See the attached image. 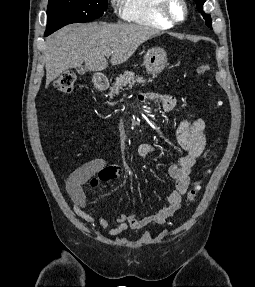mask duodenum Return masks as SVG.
Masks as SVG:
<instances>
[{"label":"duodenum","mask_w":255,"mask_h":287,"mask_svg":"<svg viewBox=\"0 0 255 287\" xmlns=\"http://www.w3.org/2000/svg\"><path fill=\"white\" fill-rule=\"evenodd\" d=\"M109 86V83L106 79L104 78H97L95 80V87L99 91H105Z\"/></svg>","instance_id":"410a0bca"}]
</instances>
